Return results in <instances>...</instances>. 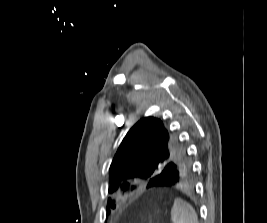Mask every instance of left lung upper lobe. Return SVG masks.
<instances>
[{
	"label": "left lung upper lobe",
	"instance_id": "obj_1",
	"mask_svg": "<svg viewBox=\"0 0 267 223\" xmlns=\"http://www.w3.org/2000/svg\"><path fill=\"white\" fill-rule=\"evenodd\" d=\"M192 171L185 148L161 119L144 117L124 137L109 171V193L131 191L136 180L152 181L153 173ZM116 207L109 198L107 214Z\"/></svg>",
	"mask_w": 267,
	"mask_h": 223
}]
</instances>
